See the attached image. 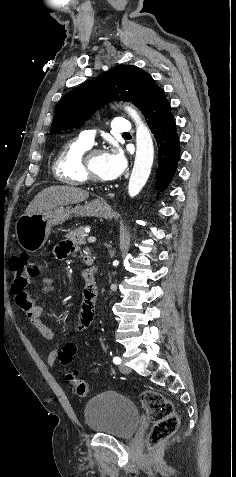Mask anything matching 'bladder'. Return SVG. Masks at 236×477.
Returning <instances> with one entry per match:
<instances>
[{
    "label": "bladder",
    "instance_id": "31cf9c89",
    "mask_svg": "<svg viewBox=\"0 0 236 477\" xmlns=\"http://www.w3.org/2000/svg\"><path fill=\"white\" fill-rule=\"evenodd\" d=\"M87 428L120 439L133 436L140 421L137 406L126 396L107 390L93 397L84 407Z\"/></svg>",
    "mask_w": 236,
    "mask_h": 477
}]
</instances>
